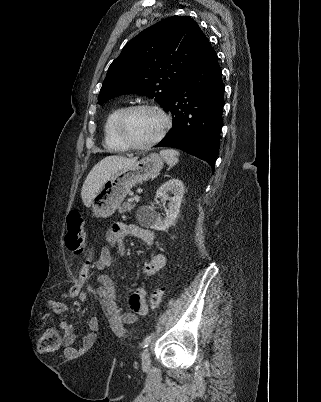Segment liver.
<instances>
[{"label":"liver","mask_w":321,"mask_h":402,"mask_svg":"<svg viewBox=\"0 0 321 402\" xmlns=\"http://www.w3.org/2000/svg\"><path fill=\"white\" fill-rule=\"evenodd\" d=\"M137 158L107 156L99 161L87 175L81 190L85 206H90L96 191L117 171L133 164Z\"/></svg>","instance_id":"liver-1"}]
</instances>
